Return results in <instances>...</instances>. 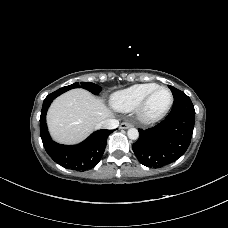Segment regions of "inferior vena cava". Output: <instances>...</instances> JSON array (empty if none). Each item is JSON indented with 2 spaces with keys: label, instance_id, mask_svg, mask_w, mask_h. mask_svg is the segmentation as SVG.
Instances as JSON below:
<instances>
[{
  "label": "inferior vena cava",
  "instance_id": "602c4592",
  "mask_svg": "<svg viewBox=\"0 0 228 228\" xmlns=\"http://www.w3.org/2000/svg\"><path fill=\"white\" fill-rule=\"evenodd\" d=\"M118 126H119V121L112 118H107L97 124L98 129H115Z\"/></svg>",
  "mask_w": 228,
  "mask_h": 228
}]
</instances>
